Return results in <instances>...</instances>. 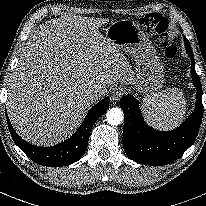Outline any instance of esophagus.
I'll use <instances>...</instances> for the list:
<instances>
[{
	"label": "esophagus",
	"mask_w": 206,
	"mask_h": 206,
	"mask_svg": "<svg viewBox=\"0 0 206 206\" xmlns=\"http://www.w3.org/2000/svg\"><path fill=\"white\" fill-rule=\"evenodd\" d=\"M124 92L125 90L123 88H120V87L114 88L111 94L112 101L118 102L123 96Z\"/></svg>",
	"instance_id": "esophagus-1"
}]
</instances>
